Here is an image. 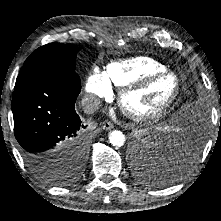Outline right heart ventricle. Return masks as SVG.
<instances>
[{
    "label": "right heart ventricle",
    "instance_id": "1",
    "mask_svg": "<svg viewBox=\"0 0 221 221\" xmlns=\"http://www.w3.org/2000/svg\"><path fill=\"white\" fill-rule=\"evenodd\" d=\"M165 70L166 66L161 62L151 57L139 56L109 63L104 75L110 84L124 87L152 73Z\"/></svg>",
    "mask_w": 221,
    "mask_h": 221
}]
</instances>
